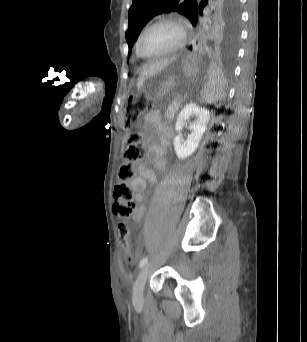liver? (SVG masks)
Instances as JSON below:
<instances>
[{"mask_svg": "<svg viewBox=\"0 0 307 342\" xmlns=\"http://www.w3.org/2000/svg\"><path fill=\"white\" fill-rule=\"evenodd\" d=\"M171 60H174V58H162V60H157V62H152V64L146 66V68H144L143 72H141L138 78L137 88H141V86H143L146 78H150V76H155V74H158V72H161V70L167 68Z\"/></svg>", "mask_w": 307, "mask_h": 342, "instance_id": "1", "label": "liver"}]
</instances>
